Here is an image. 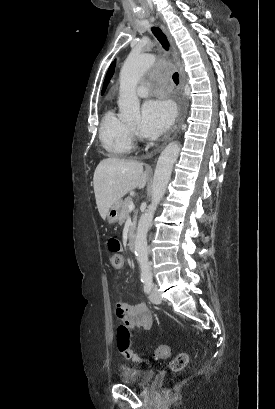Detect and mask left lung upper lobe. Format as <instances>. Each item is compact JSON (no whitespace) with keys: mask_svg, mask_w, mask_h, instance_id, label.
<instances>
[{"mask_svg":"<svg viewBox=\"0 0 275 409\" xmlns=\"http://www.w3.org/2000/svg\"><path fill=\"white\" fill-rule=\"evenodd\" d=\"M115 65H116V63H115V61H113L111 63V65H110L109 69H108V72L106 74V77H105V80H104V83H103L102 94L105 92V89H106L111 77L113 76Z\"/></svg>","mask_w":275,"mask_h":409,"instance_id":"obj_1","label":"left lung upper lobe"}]
</instances>
